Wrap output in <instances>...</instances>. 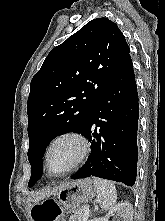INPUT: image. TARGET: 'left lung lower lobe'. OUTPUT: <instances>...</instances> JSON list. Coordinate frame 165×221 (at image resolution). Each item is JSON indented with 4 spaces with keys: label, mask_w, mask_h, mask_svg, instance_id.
<instances>
[{
    "label": "left lung lower lobe",
    "mask_w": 165,
    "mask_h": 221,
    "mask_svg": "<svg viewBox=\"0 0 165 221\" xmlns=\"http://www.w3.org/2000/svg\"><path fill=\"white\" fill-rule=\"evenodd\" d=\"M138 92L131 57L107 85L80 133L91 156L72 179L96 176L133 186L137 174Z\"/></svg>",
    "instance_id": "1"
}]
</instances>
